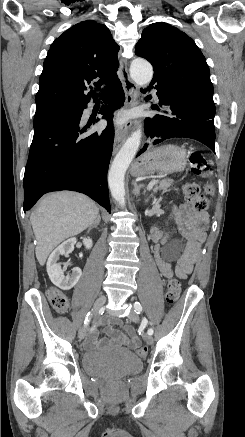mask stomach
<instances>
[{"instance_id":"obj_1","label":"stomach","mask_w":245,"mask_h":437,"mask_svg":"<svg viewBox=\"0 0 245 437\" xmlns=\"http://www.w3.org/2000/svg\"><path fill=\"white\" fill-rule=\"evenodd\" d=\"M187 165L185 151L176 145H163L141 156L133 165L131 174L143 177L155 172L171 173L182 171Z\"/></svg>"}]
</instances>
